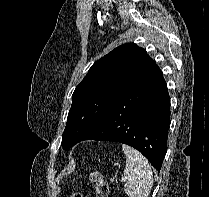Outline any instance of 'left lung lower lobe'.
<instances>
[{
  "instance_id": "0a47b994",
  "label": "left lung lower lobe",
  "mask_w": 209,
  "mask_h": 197,
  "mask_svg": "<svg viewBox=\"0 0 209 197\" xmlns=\"http://www.w3.org/2000/svg\"><path fill=\"white\" fill-rule=\"evenodd\" d=\"M169 112L167 84L154 64L139 82L112 103L80 141L105 140L130 145L160 171L167 151Z\"/></svg>"
}]
</instances>
